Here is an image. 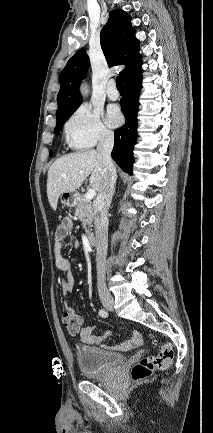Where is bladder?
<instances>
[{"label": "bladder", "instance_id": "31cf9c89", "mask_svg": "<svg viewBox=\"0 0 213 433\" xmlns=\"http://www.w3.org/2000/svg\"><path fill=\"white\" fill-rule=\"evenodd\" d=\"M76 360L80 372L89 379H101L115 372L123 363L124 356L91 346H79Z\"/></svg>", "mask_w": 213, "mask_h": 433}]
</instances>
